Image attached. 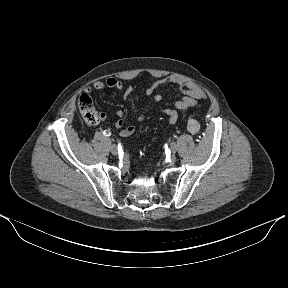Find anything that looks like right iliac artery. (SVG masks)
I'll return each instance as SVG.
<instances>
[{"label": "right iliac artery", "mask_w": 288, "mask_h": 288, "mask_svg": "<svg viewBox=\"0 0 288 288\" xmlns=\"http://www.w3.org/2000/svg\"><path fill=\"white\" fill-rule=\"evenodd\" d=\"M104 135L108 137V136L111 135V132H110L109 130H105V131H104Z\"/></svg>", "instance_id": "right-iliac-artery-1"}]
</instances>
